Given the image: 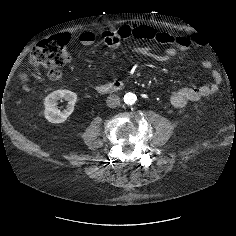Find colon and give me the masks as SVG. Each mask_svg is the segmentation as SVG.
<instances>
[{
  "mask_svg": "<svg viewBox=\"0 0 236 236\" xmlns=\"http://www.w3.org/2000/svg\"><path fill=\"white\" fill-rule=\"evenodd\" d=\"M71 60L67 49V39L61 35L39 42L29 55V63L35 68H45L51 73ZM33 80L32 73L25 71L19 76L22 86L28 87Z\"/></svg>",
  "mask_w": 236,
  "mask_h": 236,
  "instance_id": "colon-1",
  "label": "colon"
}]
</instances>
